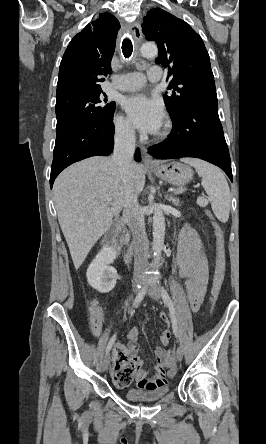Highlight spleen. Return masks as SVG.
I'll use <instances>...</instances> for the list:
<instances>
[{
	"mask_svg": "<svg viewBox=\"0 0 266 444\" xmlns=\"http://www.w3.org/2000/svg\"><path fill=\"white\" fill-rule=\"evenodd\" d=\"M181 161L195 168L199 177L202 178L201 184L211 200V207L215 216L221 222H227L231 195L228 182L221 170L197 158H183Z\"/></svg>",
	"mask_w": 266,
	"mask_h": 444,
	"instance_id": "3e777b00",
	"label": "spleen"
}]
</instances>
